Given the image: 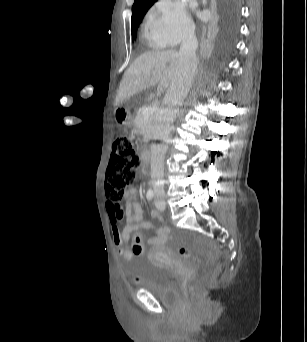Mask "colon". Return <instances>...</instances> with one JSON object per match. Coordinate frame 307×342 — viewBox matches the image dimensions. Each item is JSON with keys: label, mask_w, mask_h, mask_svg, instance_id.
Segmentation results:
<instances>
[{"label": "colon", "mask_w": 307, "mask_h": 342, "mask_svg": "<svg viewBox=\"0 0 307 342\" xmlns=\"http://www.w3.org/2000/svg\"><path fill=\"white\" fill-rule=\"evenodd\" d=\"M140 164L137 153L135 152L131 141L122 137L118 139L112 148L110 164L106 172V194L111 200V207H117L124 199L125 189L132 184L137 174V168ZM131 248L134 256H141L142 246L139 235L133 236ZM177 252L181 256H189L190 250L186 246H178ZM139 278H134V283H138ZM193 288H190L186 296L189 307H198L199 296L202 293V281H193Z\"/></svg>", "instance_id": "1"}]
</instances>
